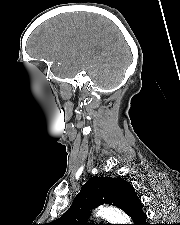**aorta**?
I'll use <instances>...</instances> for the list:
<instances>
[{"mask_svg": "<svg viewBox=\"0 0 180 225\" xmlns=\"http://www.w3.org/2000/svg\"><path fill=\"white\" fill-rule=\"evenodd\" d=\"M96 216L106 219L111 224H130V218L121 210L115 207H100Z\"/></svg>", "mask_w": 180, "mask_h": 225, "instance_id": "aorta-1", "label": "aorta"}]
</instances>
